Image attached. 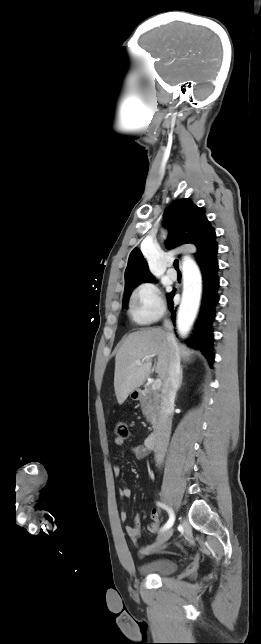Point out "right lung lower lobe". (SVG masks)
<instances>
[{
    "instance_id": "right-lung-lower-lobe-1",
    "label": "right lung lower lobe",
    "mask_w": 261,
    "mask_h": 644,
    "mask_svg": "<svg viewBox=\"0 0 261 644\" xmlns=\"http://www.w3.org/2000/svg\"><path fill=\"white\" fill-rule=\"evenodd\" d=\"M199 266L203 276L202 305L194 334L186 343L195 349H199L207 357L209 363L212 364L214 361L212 322L215 319V306L219 301L217 293L219 288L218 262L215 257L212 260L200 263ZM173 297L174 293L168 298V306L171 312V319L175 322L176 312Z\"/></svg>"
}]
</instances>
